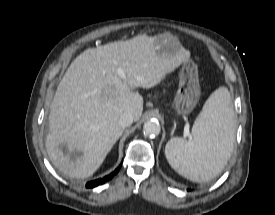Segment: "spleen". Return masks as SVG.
I'll use <instances>...</instances> for the list:
<instances>
[{
    "label": "spleen",
    "instance_id": "1",
    "mask_svg": "<svg viewBox=\"0 0 275 215\" xmlns=\"http://www.w3.org/2000/svg\"><path fill=\"white\" fill-rule=\"evenodd\" d=\"M192 133V141L176 137L167 143V161L191 181H210L224 169L234 147L235 114L227 88L220 87L210 95Z\"/></svg>",
    "mask_w": 275,
    "mask_h": 215
}]
</instances>
